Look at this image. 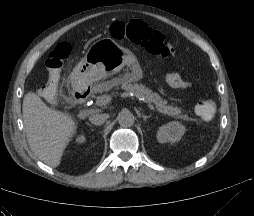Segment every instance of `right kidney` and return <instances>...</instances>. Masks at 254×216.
<instances>
[{
    "label": "right kidney",
    "mask_w": 254,
    "mask_h": 216,
    "mask_svg": "<svg viewBox=\"0 0 254 216\" xmlns=\"http://www.w3.org/2000/svg\"><path fill=\"white\" fill-rule=\"evenodd\" d=\"M85 140H86L85 136L80 135L76 138V143L81 144V143L85 142Z\"/></svg>",
    "instance_id": "1"
}]
</instances>
